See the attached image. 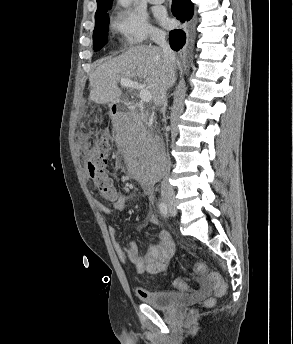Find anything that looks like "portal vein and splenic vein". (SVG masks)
I'll return each mask as SVG.
<instances>
[{
  "label": "portal vein and splenic vein",
  "mask_w": 293,
  "mask_h": 344,
  "mask_svg": "<svg viewBox=\"0 0 293 344\" xmlns=\"http://www.w3.org/2000/svg\"><path fill=\"white\" fill-rule=\"evenodd\" d=\"M120 84L123 87L140 90V99L141 101L145 103L150 102V100L152 99L150 91L145 88L144 84H141V83H138L137 81H133L129 79H121Z\"/></svg>",
  "instance_id": "1"
}]
</instances>
